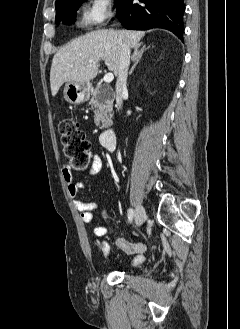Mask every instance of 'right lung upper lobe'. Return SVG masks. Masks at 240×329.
Segmentation results:
<instances>
[{"mask_svg": "<svg viewBox=\"0 0 240 329\" xmlns=\"http://www.w3.org/2000/svg\"><path fill=\"white\" fill-rule=\"evenodd\" d=\"M65 1H67V0H56V7L60 6Z\"/></svg>", "mask_w": 240, "mask_h": 329, "instance_id": "obj_1", "label": "right lung upper lobe"}]
</instances>
